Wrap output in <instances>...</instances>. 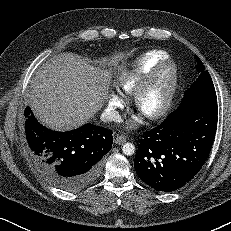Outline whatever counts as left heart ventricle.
Returning a JSON list of instances; mask_svg holds the SVG:
<instances>
[{
	"mask_svg": "<svg viewBox=\"0 0 231 231\" xmlns=\"http://www.w3.org/2000/svg\"><path fill=\"white\" fill-rule=\"evenodd\" d=\"M168 82V70L166 69L159 82L144 101L143 111L151 113L161 104Z\"/></svg>",
	"mask_w": 231,
	"mask_h": 231,
	"instance_id": "b2bd125f",
	"label": "left heart ventricle"
}]
</instances>
